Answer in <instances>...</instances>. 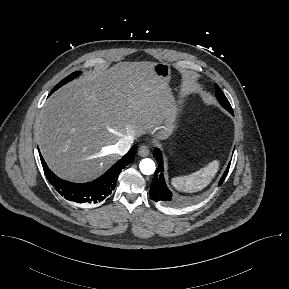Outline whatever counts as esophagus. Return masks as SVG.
<instances>
[{"mask_svg": "<svg viewBox=\"0 0 289 289\" xmlns=\"http://www.w3.org/2000/svg\"><path fill=\"white\" fill-rule=\"evenodd\" d=\"M150 153V150L148 148V146L146 145H142L139 147V150H138V155L141 156V157H146L148 156Z\"/></svg>", "mask_w": 289, "mask_h": 289, "instance_id": "obj_1", "label": "esophagus"}]
</instances>
